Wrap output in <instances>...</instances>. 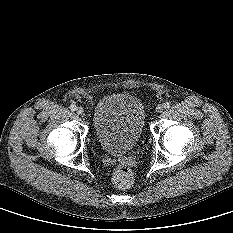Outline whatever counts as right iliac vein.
Here are the masks:
<instances>
[{"instance_id":"1","label":"right iliac vein","mask_w":233,"mask_h":233,"mask_svg":"<svg viewBox=\"0 0 233 233\" xmlns=\"http://www.w3.org/2000/svg\"><path fill=\"white\" fill-rule=\"evenodd\" d=\"M76 113L78 115H84V109L82 107H77L76 108Z\"/></svg>"}]
</instances>
